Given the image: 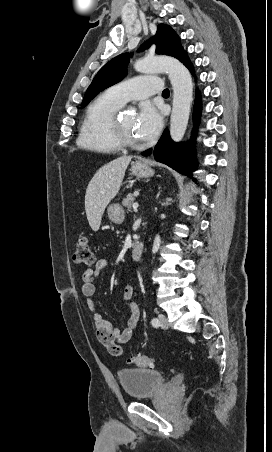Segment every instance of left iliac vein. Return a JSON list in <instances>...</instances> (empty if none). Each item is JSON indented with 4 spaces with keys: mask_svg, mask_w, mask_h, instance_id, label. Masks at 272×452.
I'll return each mask as SVG.
<instances>
[{
    "mask_svg": "<svg viewBox=\"0 0 272 452\" xmlns=\"http://www.w3.org/2000/svg\"><path fill=\"white\" fill-rule=\"evenodd\" d=\"M159 321H160V327L163 329H168L169 324H168V320L167 317L164 314H159L158 316Z\"/></svg>",
    "mask_w": 272,
    "mask_h": 452,
    "instance_id": "left-iliac-vein-1",
    "label": "left iliac vein"
}]
</instances>
